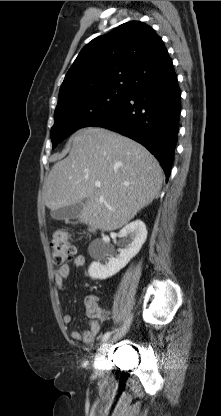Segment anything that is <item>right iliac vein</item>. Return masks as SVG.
I'll list each match as a JSON object with an SVG mask.
<instances>
[{
	"label": "right iliac vein",
	"mask_w": 221,
	"mask_h": 416,
	"mask_svg": "<svg viewBox=\"0 0 221 416\" xmlns=\"http://www.w3.org/2000/svg\"><path fill=\"white\" fill-rule=\"evenodd\" d=\"M129 326H130V319L125 322V324L121 328V331L118 332L116 334V336L114 337V340L122 337L127 332ZM109 346H110V341H107L100 347L99 353L97 354V364H98L96 366L97 369H99V367H100L99 363H100L101 359L104 357V355H105L106 351L108 350Z\"/></svg>",
	"instance_id": "right-iliac-vein-1"
}]
</instances>
